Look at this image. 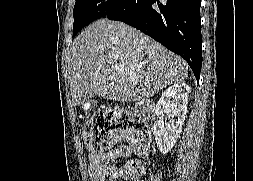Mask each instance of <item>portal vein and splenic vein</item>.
<instances>
[{"label": "portal vein and splenic vein", "instance_id": "obj_1", "mask_svg": "<svg viewBox=\"0 0 253 181\" xmlns=\"http://www.w3.org/2000/svg\"><path fill=\"white\" fill-rule=\"evenodd\" d=\"M117 69H118V71H119V73H123V72H125V68H124V66H118L117 67ZM130 76H134V73H130Z\"/></svg>", "mask_w": 253, "mask_h": 181}]
</instances>
